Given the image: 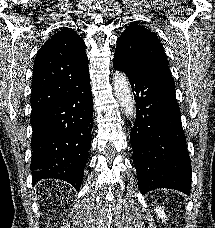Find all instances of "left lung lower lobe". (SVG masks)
<instances>
[{
    "instance_id": "1",
    "label": "left lung lower lobe",
    "mask_w": 215,
    "mask_h": 228,
    "mask_svg": "<svg viewBox=\"0 0 215 228\" xmlns=\"http://www.w3.org/2000/svg\"><path fill=\"white\" fill-rule=\"evenodd\" d=\"M113 64L129 78L136 101L130 139L141 193L167 188L189 195L191 160L171 72L136 71L115 58Z\"/></svg>"
}]
</instances>
